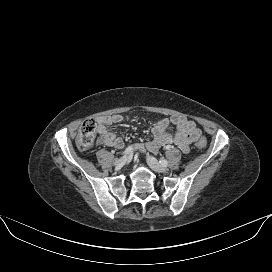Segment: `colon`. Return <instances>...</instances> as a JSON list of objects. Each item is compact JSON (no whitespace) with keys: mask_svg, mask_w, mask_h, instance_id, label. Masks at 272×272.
I'll return each instance as SVG.
<instances>
[{"mask_svg":"<svg viewBox=\"0 0 272 272\" xmlns=\"http://www.w3.org/2000/svg\"><path fill=\"white\" fill-rule=\"evenodd\" d=\"M97 139V124L93 119L85 120L80 126L76 142L79 147L88 149L91 148ZM197 147L204 149L207 142L204 138H201L197 143Z\"/></svg>","mask_w":272,"mask_h":272,"instance_id":"colon-1","label":"colon"}]
</instances>
